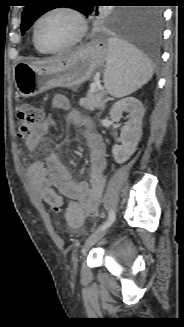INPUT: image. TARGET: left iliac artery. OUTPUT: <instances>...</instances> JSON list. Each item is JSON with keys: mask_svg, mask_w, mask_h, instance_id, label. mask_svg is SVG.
I'll list each match as a JSON object with an SVG mask.
<instances>
[{"mask_svg": "<svg viewBox=\"0 0 184 327\" xmlns=\"http://www.w3.org/2000/svg\"><path fill=\"white\" fill-rule=\"evenodd\" d=\"M116 214L114 210H111L108 215L107 221L99 228V230H103L109 227L115 220Z\"/></svg>", "mask_w": 184, "mask_h": 327, "instance_id": "1", "label": "left iliac artery"}]
</instances>
